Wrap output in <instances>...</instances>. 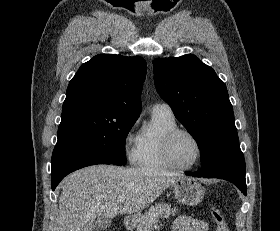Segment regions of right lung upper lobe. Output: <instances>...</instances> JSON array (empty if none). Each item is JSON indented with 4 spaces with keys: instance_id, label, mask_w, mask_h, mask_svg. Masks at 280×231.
I'll use <instances>...</instances> for the list:
<instances>
[{
    "instance_id": "right-lung-upper-lobe-1",
    "label": "right lung upper lobe",
    "mask_w": 280,
    "mask_h": 231,
    "mask_svg": "<svg viewBox=\"0 0 280 231\" xmlns=\"http://www.w3.org/2000/svg\"><path fill=\"white\" fill-rule=\"evenodd\" d=\"M142 57L100 54L84 63L70 81L62 120L91 117L137 119L146 76Z\"/></svg>"
}]
</instances>
